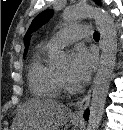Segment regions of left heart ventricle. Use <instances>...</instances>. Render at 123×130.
Masks as SVG:
<instances>
[{
    "label": "left heart ventricle",
    "mask_w": 123,
    "mask_h": 130,
    "mask_svg": "<svg viewBox=\"0 0 123 130\" xmlns=\"http://www.w3.org/2000/svg\"><path fill=\"white\" fill-rule=\"evenodd\" d=\"M59 74H61L62 76H64L65 78L68 77V67L64 66L58 69Z\"/></svg>",
    "instance_id": "left-heart-ventricle-1"
}]
</instances>
